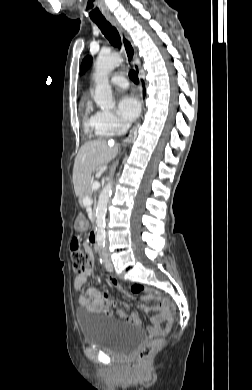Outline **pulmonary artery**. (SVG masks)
<instances>
[{
  "label": "pulmonary artery",
  "mask_w": 252,
  "mask_h": 390,
  "mask_svg": "<svg viewBox=\"0 0 252 390\" xmlns=\"http://www.w3.org/2000/svg\"><path fill=\"white\" fill-rule=\"evenodd\" d=\"M110 82L113 86L118 87V88H127L128 87V82L125 77L122 75H113L110 79Z\"/></svg>",
  "instance_id": "1"
}]
</instances>
